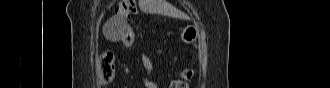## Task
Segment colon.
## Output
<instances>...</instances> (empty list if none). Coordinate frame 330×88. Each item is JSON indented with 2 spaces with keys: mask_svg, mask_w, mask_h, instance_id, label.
I'll list each match as a JSON object with an SVG mask.
<instances>
[{
  "mask_svg": "<svg viewBox=\"0 0 330 88\" xmlns=\"http://www.w3.org/2000/svg\"><path fill=\"white\" fill-rule=\"evenodd\" d=\"M136 11L135 1L124 0L121 1L117 13L123 18H129ZM121 43L129 48L134 43V34L127 30L121 37ZM99 79L102 84L110 83L115 78V64L113 55L110 52H104L99 58L98 64ZM192 77V71L189 69H182L177 76V79L172 84V88H187L188 82Z\"/></svg>",
  "mask_w": 330,
  "mask_h": 88,
  "instance_id": "colon-1",
  "label": "colon"
}]
</instances>
